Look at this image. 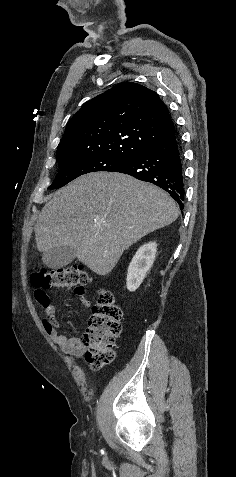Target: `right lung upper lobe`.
Segmentation results:
<instances>
[{
    "instance_id": "1",
    "label": "right lung upper lobe",
    "mask_w": 236,
    "mask_h": 477,
    "mask_svg": "<svg viewBox=\"0 0 236 477\" xmlns=\"http://www.w3.org/2000/svg\"><path fill=\"white\" fill-rule=\"evenodd\" d=\"M175 133L158 95L123 82L87 101L66 125L57 160L88 155L131 159Z\"/></svg>"
}]
</instances>
